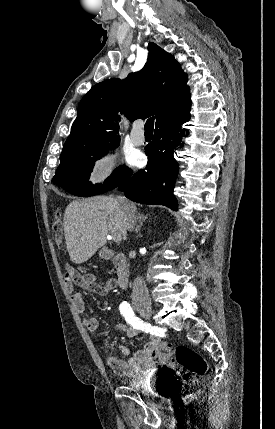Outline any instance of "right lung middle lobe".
I'll return each mask as SVG.
<instances>
[{"instance_id": "right-lung-middle-lobe-1", "label": "right lung middle lobe", "mask_w": 275, "mask_h": 429, "mask_svg": "<svg viewBox=\"0 0 275 429\" xmlns=\"http://www.w3.org/2000/svg\"><path fill=\"white\" fill-rule=\"evenodd\" d=\"M119 140L97 150L88 151L80 156L66 158L61 160L56 175L52 181L61 185L68 192L76 196H94L105 193L121 184L130 169L127 167H118L111 176L104 182V185H92L89 182L90 172L93 169L94 162L113 146L118 145ZM94 155V157H91Z\"/></svg>"}]
</instances>
